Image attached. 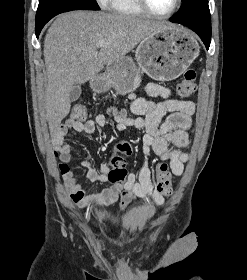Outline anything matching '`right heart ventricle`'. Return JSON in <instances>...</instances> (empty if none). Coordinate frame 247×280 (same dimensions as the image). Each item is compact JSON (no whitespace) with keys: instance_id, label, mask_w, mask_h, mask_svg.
<instances>
[{"instance_id":"right-heart-ventricle-1","label":"right heart ventricle","mask_w":247,"mask_h":280,"mask_svg":"<svg viewBox=\"0 0 247 280\" xmlns=\"http://www.w3.org/2000/svg\"><path fill=\"white\" fill-rule=\"evenodd\" d=\"M109 9L117 14L126 16H141L144 14L136 0H109Z\"/></svg>"}]
</instances>
